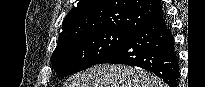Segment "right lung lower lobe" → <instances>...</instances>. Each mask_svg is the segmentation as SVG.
Instances as JSON below:
<instances>
[{
    "instance_id": "98d812e1",
    "label": "right lung lower lobe",
    "mask_w": 205,
    "mask_h": 87,
    "mask_svg": "<svg viewBox=\"0 0 205 87\" xmlns=\"http://www.w3.org/2000/svg\"><path fill=\"white\" fill-rule=\"evenodd\" d=\"M137 66L162 78L170 87L178 86L179 63L174 38L164 15L144 25L97 64Z\"/></svg>"
}]
</instances>
